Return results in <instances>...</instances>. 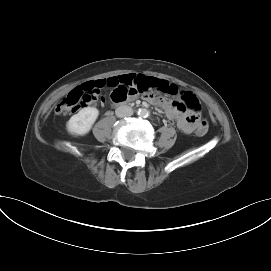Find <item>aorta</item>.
I'll list each match as a JSON object with an SVG mask.
<instances>
[{
    "mask_svg": "<svg viewBox=\"0 0 271 271\" xmlns=\"http://www.w3.org/2000/svg\"><path fill=\"white\" fill-rule=\"evenodd\" d=\"M148 113L149 112L146 109H139V111H138V115H140L141 117H147Z\"/></svg>",
    "mask_w": 271,
    "mask_h": 271,
    "instance_id": "aorta-1",
    "label": "aorta"
}]
</instances>
